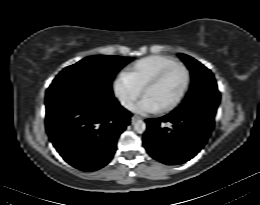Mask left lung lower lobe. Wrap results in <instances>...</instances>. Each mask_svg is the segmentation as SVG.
<instances>
[{
	"label": "left lung lower lobe",
	"mask_w": 260,
	"mask_h": 205,
	"mask_svg": "<svg viewBox=\"0 0 260 205\" xmlns=\"http://www.w3.org/2000/svg\"><path fill=\"white\" fill-rule=\"evenodd\" d=\"M169 122L172 128L164 127ZM143 141L156 160L176 165L193 158L205 145L214 127V115L201 110H174L157 119H147Z\"/></svg>",
	"instance_id": "left-lung-lower-lobe-1"
}]
</instances>
